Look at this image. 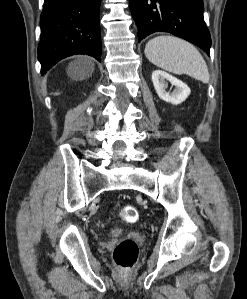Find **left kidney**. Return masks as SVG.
Here are the masks:
<instances>
[{"instance_id": "5707ae66", "label": "left kidney", "mask_w": 247, "mask_h": 299, "mask_svg": "<svg viewBox=\"0 0 247 299\" xmlns=\"http://www.w3.org/2000/svg\"><path fill=\"white\" fill-rule=\"evenodd\" d=\"M152 82L158 96L173 105L182 103L191 93L190 88L185 83L161 70H155L152 73ZM168 82L175 86L172 93L166 91Z\"/></svg>"}]
</instances>
